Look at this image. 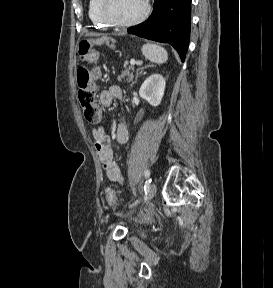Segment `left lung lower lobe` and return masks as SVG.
<instances>
[{
    "label": "left lung lower lobe",
    "mask_w": 273,
    "mask_h": 288,
    "mask_svg": "<svg viewBox=\"0 0 273 288\" xmlns=\"http://www.w3.org/2000/svg\"><path fill=\"white\" fill-rule=\"evenodd\" d=\"M191 0H154L151 16L128 28V33L150 40L169 43L185 60L190 39Z\"/></svg>",
    "instance_id": "obj_1"
}]
</instances>
